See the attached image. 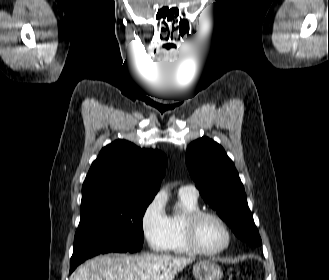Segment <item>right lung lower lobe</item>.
Masks as SVG:
<instances>
[{
    "instance_id": "right-lung-lower-lobe-1",
    "label": "right lung lower lobe",
    "mask_w": 329,
    "mask_h": 280,
    "mask_svg": "<svg viewBox=\"0 0 329 280\" xmlns=\"http://www.w3.org/2000/svg\"><path fill=\"white\" fill-rule=\"evenodd\" d=\"M109 252H111V251H109ZM109 252H101V253H98V254H104V253H109ZM98 254H95V255H98ZM95 255H92V256H90V257H93V256H95ZM90 257H88V258H90ZM88 258H86V259H88ZM86 259H84L83 261H85ZM83 261H81L80 263H82ZM80 263H79V264H80ZM79 264H78V265H79ZM78 265H77V266H78ZM77 266H75L74 268L70 269V273H71V272H72Z\"/></svg>"
}]
</instances>
